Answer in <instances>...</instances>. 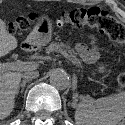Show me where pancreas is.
<instances>
[{"label":"pancreas","mask_w":125,"mask_h":125,"mask_svg":"<svg viewBox=\"0 0 125 125\" xmlns=\"http://www.w3.org/2000/svg\"><path fill=\"white\" fill-rule=\"evenodd\" d=\"M60 51H65L69 54L71 61L76 64L77 66H81V61L79 58H77L76 52L71 49L67 44H64L62 42H52L47 48V53H60Z\"/></svg>","instance_id":"cf45deb5"}]
</instances>
